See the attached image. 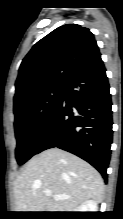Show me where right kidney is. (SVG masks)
<instances>
[{
  "label": "right kidney",
  "mask_w": 123,
  "mask_h": 219,
  "mask_svg": "<svg viewBox=\"0 0 123 219\" xmlns=\"http://www.w3.org/2000/svg\"><path fill=\"white\" fill-rule=\"evenodd\" d=\"M75 212H97L98 211V206L97 202L94 200H88L81 204Z\"/></svg>",
  "instance_id": "obj_1"
}]
</instances>
